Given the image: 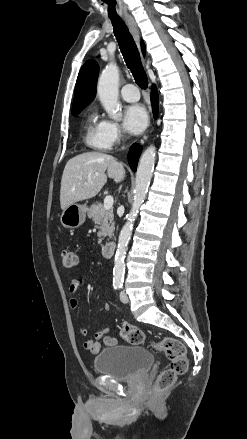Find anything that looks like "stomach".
I'll use <instances>...</instances> for the list:
<instances>
[{"instance_id":"1","label":"stomach","mask_w":247,"mask_h":439,"mask_svg":"<svg viewBox=\"0 0 247 439\" xmlns=\"http://www.w3.org/2000/svg\"><path fill=\"white\" fill-rule=\"evenodd\" d=\"M86 211V205L71 204L63 210L60 221L66 228H78L85 222Z\"/></svg>"}]
</instances>
